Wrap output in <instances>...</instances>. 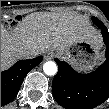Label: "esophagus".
Masks as SVG:
<instances>
[{"mask_svg": "<svg viewBox=\"0 0 109 109\" xmlns=\"http://www.w3.org/2000/svg\"><path fill=\"white\" fill-rule=\"evenodd\" d=\"M52 56H53V53H51V52H46V53L44 54V58H45L46 60L51 59Z\"/></svg>", "mask_w": 109, "mask_h": 109, "instance_id": "obj_1", "label": "esophagus"}]
</instances>
